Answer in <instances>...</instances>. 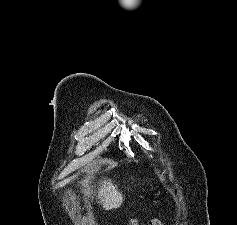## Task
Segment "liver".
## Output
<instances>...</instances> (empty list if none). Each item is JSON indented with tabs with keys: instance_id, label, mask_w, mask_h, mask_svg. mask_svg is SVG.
<instances>
[{
	"instance_id": "obj_1",
	"label": "liver",
	"mask_w": 237,
	"mask_h": 225,
	"mask_svg": "<svg viewBox=\"0 0 237 225\" xmlns=\"http://www.w3.org/2000/svg\"><path fill=\"white\" fill-rule=\"evenodd\" d=\"M98 199L105 210H111L121 206L123 195L110 180H104L98 189Z\"/></svg>"
}]
</instances>
